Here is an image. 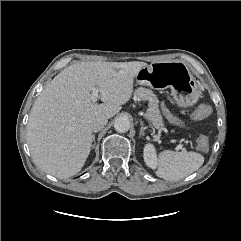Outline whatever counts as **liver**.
Returning a JSON list of instances; mask_svg holds the SVG:
<instances>
[{"mask_svg": "<svg viewBox=\"0 0 241 241\" xmlns=\"http://www.w3.org/2000/svg\"><path fill=\"white\" fill-rule=\"evenodd\" d=\"M146 66L140 61L82 62L62 70L31 110L27 140L35 164L60 179L77 174L91 151L92 121L122 109L132 96L134 78ZM94 88L102 104L92 101Z\"/></svg>", "mask_w": 241, "mask_h": 241, "instance_id": "6515ba94", "label": "liver"}]
</instances>
